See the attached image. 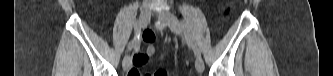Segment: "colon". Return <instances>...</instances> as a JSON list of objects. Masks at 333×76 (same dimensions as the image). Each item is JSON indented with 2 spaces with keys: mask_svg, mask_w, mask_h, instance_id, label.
Returning a JSON list of instances; mask_svg holds the SVG:
<instances>
[{
  "mask_svg": "<svg viewBox=\"0 0 333 76\" xmlns=\"http://www.w3.org/2000/svg\"><path fill=\"white\" fill-rule=\"evenodd\" d=\"M151 35V34H150ZM128 76H140L141 73H139L137 70L135 69H131L128 74ZM169 76V72L165 69H159L156 70L153 74H145V76Z\"/></svg>",
  "mask_w": 333,
  "mask_h": 76,
  "instance_id": "5ec220e1",
  "label": "colon"
}]
</instances>
